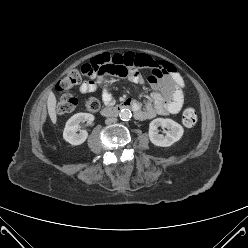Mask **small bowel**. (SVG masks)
Masks as SVG:
<instances>
[{
    "mask_svg": "<svg viewBox=\"0 0 248 248\" xmlns=\"http://www.w3.org/2000/svg\"><path fill=\"white\" fill-rule=\"evenodd\" d=\"M122 69L128 74L131 82L136 84L148 83L153 94L148 99L146 108L141 109L136 118L146 120L158 115L178 113L184 102V81L177 70L170 63L143 53L127 52L115 54ZM148 70L150 75L145 78L139 70ZM101 89L102 101L110 106L114 103V97L106 87V75L104 73L92 75L91 79L83 81L79 85V91L83 94Z\"/></svg>",
    "mask_w": 248,
    "mask_h": 248,
    "instance_id": "1",
    "label": "small bowel"
}]
</instances>
